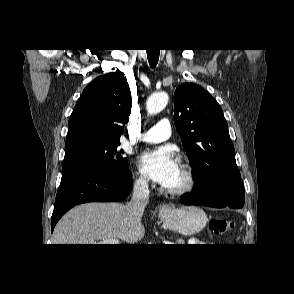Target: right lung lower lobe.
I'll use <instances>...</instances> for the list:
<instances>
[{"label": "right lung lower lobe", "mask_w": 294, "mask_h": 294, "mask_svg": "<svg viewBox=\"0 0 294 294\" xmlns=\"http://www.w3.org/2000/svg\"><path fill=\"white\" fill-rule=\"evenodd\" d=\"M132 174L96 169H81L62 176L56 195L51 230L73 206L86 202H110L126 198L131 190Z\"/></svg>", "instance_id": "right-lung-lower-lobe-1"}]
</instances>
